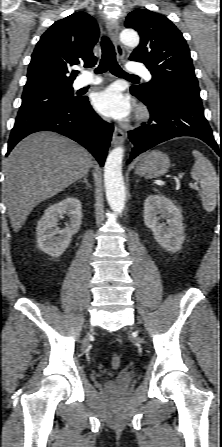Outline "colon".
Wrapping results in <instances>:
<instances>
[{"instance_id": "1", "label": "colon", "mask_w": 222, "mask_h": 447, "mask_svg": "<svg viewBox=\"0 0 222 447\" xmlns=\"http://www.w3.org/2000/svg\"><path fill=\"white\" fill-rule=\"evenodd\" d=\"M111 364L113 368H118L121 364V357L118 354L112 355Z\"/></svg>"}]
</instances>
